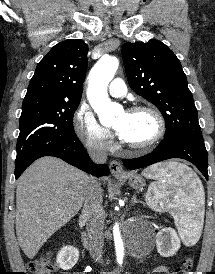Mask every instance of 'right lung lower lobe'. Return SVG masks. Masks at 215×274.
I'll use <instances>...</instances> for the list:
<instances>
[{
	"mask_svg": "<svg viewBox=\"0 0 215 274\" xmlns=\"http://www.w3.org/2000/svg\"><path fill=\"white\" fill-rule=\"evenodd\" d=\"M43 156H54L61 158L67 163L94 176L108 175L107 165H96L92 162L80 140L76 138L58 145L45 148L28 159L23 165L15 167V178L17 179L23 171L36 159Z\"/></svg>",
	"mask_w": 215,
	"mask_h": 274,
	"instance_id": "98d812e1",
	"label": "right lung lower lobe"
}]
</instances>
